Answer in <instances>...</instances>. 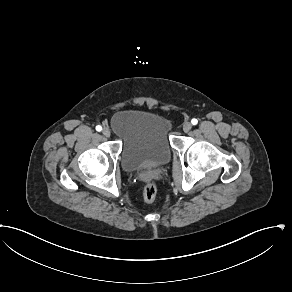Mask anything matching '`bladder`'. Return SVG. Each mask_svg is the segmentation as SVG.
<instances>
[{"label":"bladder","mask_w":292,"mask_h":292,"mask_svg":"<svg viewBox=\"0 0 292 292\" xmlns=\"http://www.w3.org/2000/svg\"><path fill=\"white\" fill-rule=\"evenodd\" d=\"M111 128L122 144L124 170L160 165L170 159L172 124L164 114L144 108L121 110L112 116Z\"/></svg>","instance_id":"1"}]
</instances>
